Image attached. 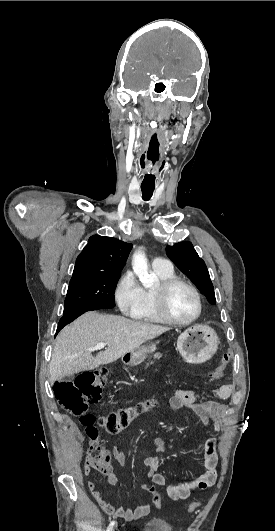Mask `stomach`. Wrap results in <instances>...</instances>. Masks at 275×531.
Segmentation results:
<instances>
[{
	"mask_svg": "<svg viewBox=\"0 0 275 531\" xmlns=\"http://www.w3.org/2000/svg\"><path fill=\"white\" fill-rule=\"evenodd\" d=\"M157 343H146L138 349H133L130 353H126L122 357V363L125 365H140L149 355L156 351ZM219 345L217 333L211 327H204V325H196V327H189L184 333H181L177 341V349L186 363H206L213 355H215Z\"/></svg>",
	"mask_w": 275,
	"mask_h": 531,
	"instance_id": "1",
	"label": "stomach"
}]
</instances>
